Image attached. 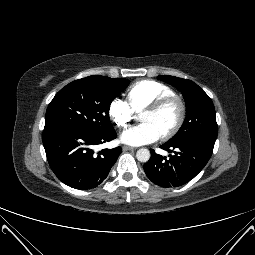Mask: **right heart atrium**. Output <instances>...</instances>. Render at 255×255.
Wrapping results in <instances>:
<instances>
[{
    "label": "right heart atrium",
    "mask_w": 255,
    "mask_h": 255,
    "mask_svg": "<svg viewBox=\"0 0 255 255\" xmlns=\"http://www.w3.org/2000/svg\"><path fill=\"white\" fill-rule=\"evenodd\" d=\"M109 117L119 128H126L133 119L134 112L125 101L115 98L108 107Z\"/></svg>",
    "instance_id": "1"
}]
</instances>
